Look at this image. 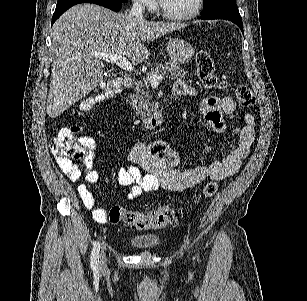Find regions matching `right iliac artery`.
<instances>
[{"label":"right iliac artery","instance_id":"82829eb1","mask_svg":"<svg viewBox=\"0 0 307 301\" xmlns=\"http://www.w3.org/2000/svg\"><path fill=\"white\" fill-rule=\"evenodd\" d=\"M99 251H100V244L96 243L93 247L92 256H91V268L93 270H96L98 268Z\"/></svg>","mask_w":307,"mask_h":301}]
</instances>
